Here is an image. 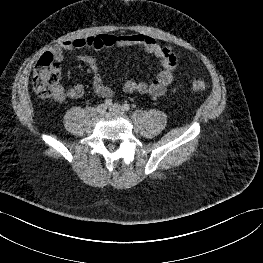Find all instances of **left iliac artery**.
I'll list each match as a JSON object with an SVG mask.
<instances>
[{"label":"left iliac artery","instance_id":"44dca946","mask_svg":"<svg viewBox=\"0 0 263 263\" xmlns=\"http://www.w3.org/2000/svg\"><path fill=\"white\" fill-rule=\"evenodd\" d=\"M123 109H124V111H129V109H130L129 104H124Z\"/></svg>","mask_w":263,"mask_h":263}]
</instances>
